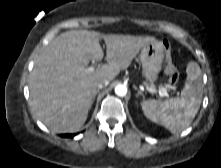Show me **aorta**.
I'll return each instance as SVG.
<instances>
[{
  "label": "aorta",
  "mask_w": 221,
  "mask_h": 168,
  "mask_svg": "<svg viewBox=\"0 0 221 168\" xmlns=\"http://www.w3.org/2000/svg\"><path fill=\"white\" fill-rule=\"evenodd\" d=\"M116 95L124 97L127 94V87L125 85L119 84L115 87Z\"/></svg>",
  "instance_id": "762f6f07"
}]
</instances>
